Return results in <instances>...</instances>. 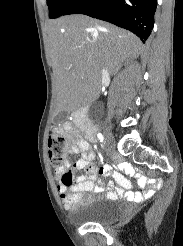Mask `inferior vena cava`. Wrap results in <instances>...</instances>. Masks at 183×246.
I'll return each mask as SVG.
<instances>
[{"label": "inferior vena cava", "instance_id": "602c4592", "mask_svg": "<svg viewBox=\"0 0 183 246\" xmlns=\"http://www.w3.org/2000/svg\"><path fill=\"white\" fill-rule=\"evenodd\" d=\"M102 73L104 74V73H107V69L105 70V69H103L102 70Z\"/></svg>", "mask_w": 183, "mask_h": 246}]
</instances>
